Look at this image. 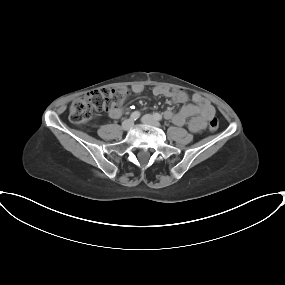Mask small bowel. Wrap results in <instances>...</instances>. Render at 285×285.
Instances as JSON below:
<instances>
[{"label":"small bowel","mask_w":285,"mask_h":285,"mask_svg":"<svg viewBox=\"0 0 285 285\" xmlns=\"http://www.w3.org/2000/svg\"><path fill=\"white\" fill-rule=\"evenodd\" d=\"M143 90L144 87L141 84H134L131 87V91L136 95L141 94ZM152 93L155 96L168 97L175 103H185L188 99L185 91L170 89L166 86H155ZM192 100L194 104H185L178 112L166 110L164 117L176 125H184L188 122L192 132L202 130L207 121L215 116V109L210 101L199 93H194ZM122 113L123 109L119 105L108 110V115L113 119L121 117Z\"/></svg>","instance_id":"small-bowel-1"}]
</instances>
